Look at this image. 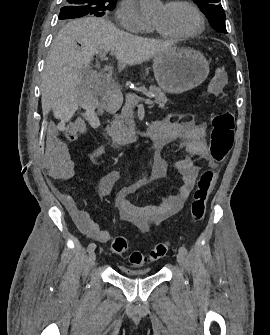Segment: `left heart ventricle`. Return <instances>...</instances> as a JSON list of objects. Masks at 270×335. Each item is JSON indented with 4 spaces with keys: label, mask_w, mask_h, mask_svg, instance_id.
Segmentation results:
<instances>
[{
    "label": "left heart ventricle",
    "mask_w": 270,
    "mask_h": 335,
    "mask_svg": "<svg viewBox=\"0 0 270 335\" xmlns=\"http://www.w3.org/2000/svg\"><path fill=\"white\" fill-rule=\"evenodd\" d=\"M149 21L161 32L173 35L191 32L198 26L196 15L185 4L173 8L163 4Z\"/></svg>",
    "instance_id": "obj_1"
}]
</instances>
